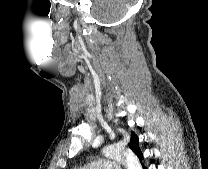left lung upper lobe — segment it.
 Segmentation results:
<instances>
[{
	"mask_svg": "<svg viewBox=\"0 0 208 169\" xmlns=\"http://www.w3.org/2000/svg\"><path fill=\"white\" fill-rule=\"evenodd\" d=\"M129 148L135 152L137 155L139 152H141L139 148V140L137 135L134 132H131V141L129 143Z\"/></svg>",
	"mask_w": 208,
	"mask_h": 169,
	"instance_id": "1",
	"label": "left lung upper lobe"
}]
</instances>
